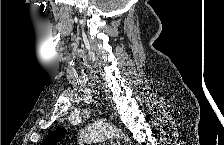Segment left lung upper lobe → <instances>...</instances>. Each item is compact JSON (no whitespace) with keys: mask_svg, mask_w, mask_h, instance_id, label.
I'll use <instances>...</instances> for the list:
<instances>
[{"mask_svg":"<svg viewBox=\"0 0 224 145\" xmlns=\"http://www.w3.org/2000/svg\"><path fill=\"white\" fill-rule=\"evenodd\" d=\"M65 129H58L51 133L42 143V145H55L65 135Z\"/></svg>","mask_w":224,"mask_h":145,"instance_id":"obj_1","label":"left lung upper lobe"}]
</instances>
